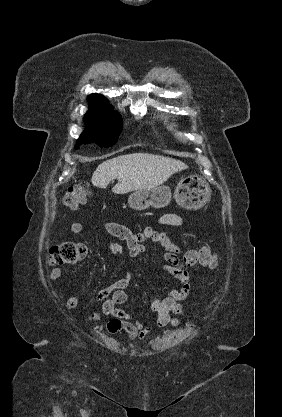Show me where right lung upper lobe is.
<instances>
[{"mask_svg":"<svg viewBox=\"0 0 282 417\" xmlns=\"http://www.w3.org/2000/svg\"><path fill=\"white\" fill-rule=\"evenodd\" d=\"M93 100H104V97L102 95L92 94L91 96H89L88 101H93Z\"/></svg>","mask_w":282,"mask_h":417,"instance_id":"right-lung-upper-lobe-1","label":"right lung upper lobe"}]
</instances>
